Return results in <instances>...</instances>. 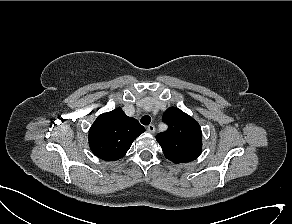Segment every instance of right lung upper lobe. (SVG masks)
Wrapping results in <instances>:
<instances>
[{
  "label": "right lung upper lobe",
  "mask_w": 292,
  "mask_h": 224,
  "mask_svg": "<svg viewBox=\"0 0 292 224\" xmlns=\"http://www.w3.org/2000/svg\"><path fill=\"white\" fill-rule=\"evenodd\" d=\"M144 131L145 128L136 119L128 117L122 108H117L95 120L89 130V146L93 154L102 160H118Z\"/></svg>",
  "instance_id": "obj_1"
}]
</instances>
